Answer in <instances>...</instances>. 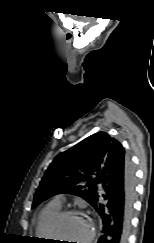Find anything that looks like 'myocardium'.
<instances>
[{"label":"myocardium","mask_w":154,"mask_h":243,"mask_svg":"<svg viewBox=\"0 0 154 243\" xmlns=\"http://www.w3.org/2000/svg\"><path fill=\"white\" fill-rule=\"evenodd\" d=\"M71 215H81L84 216L90 224V230L89 233L86 237V239L83 241V243H91V241L93 240L94 236H95V231H96V226L95 223L93 221V219L91 217H89L87 214H85L84 212L77 210V209H64L61 210L50 222L49 225V234L50 237L55 239L58 238V236L56 235V231L57 228L59 226V224L61 223V221Z\"/></svg>","instance_id":"myocardium-1"}]
</instances>
